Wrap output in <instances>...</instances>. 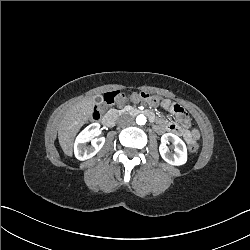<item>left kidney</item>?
I'll use <instances>...</instances> for the list:
<instances>
[{
  "label": "left kidney",
  "mask_w": 250,
  "mask_h": 250,
  "mask_svg": "<svg viewBox=\"0 0 250 250\" xmlns=\"http://www.w3.org/2000/svg\"><path fill=\"white\" fill-rule=\"evenodd\" d=\"M171 141L175 145V153L171 154L166 144ZM161 157L169 164L180 166L187 161V148L183 140L172 133H165L161 137V145L159 147Z\"/></svg>",
  "instance_id": "obj_1"
}]
</instances>
